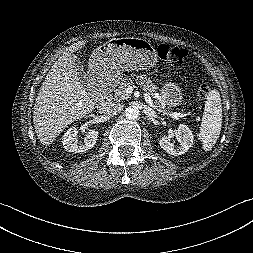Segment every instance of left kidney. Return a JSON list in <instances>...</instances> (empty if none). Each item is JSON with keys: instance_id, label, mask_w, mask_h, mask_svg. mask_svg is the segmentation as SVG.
<instances>
[{"instance_id": "left-kidney-1", "label": "left kidney", "mask_w": 253, "mask_h": 253, "mask_svg": "<svg viewBox=\"0 0 253 253\" xmlns=\"http://www.w3.org/2000/svg\"><path fill=\"white\" fill-rule=\"evenodd\" d=\"M177 139L180 143V146L176 147L173 143L169 141L167 136H163L159 140L160 147L171 155H182L186 153L188 149L192 146L194 136L187 125L180 124L177 129Z\"/></svg>"}]
</instances>
